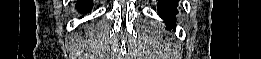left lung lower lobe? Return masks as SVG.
<instances>
[{
	"instance_id": "0a47b994",
	"label": "left lung lower lobe",
	"mask_w": 261,
	"mask_h": 59,
	"mask_svg": "<svg viewBox=\"0 0 261 59\" xmlns=\"http://www.w3.org/2000/svg\"><path fill=\"white\" fill-rule=\"evenodd\" d=\"M178 0H158V12L167 25L171 28L174 27L173 16L177 14Z\"/></svg>"
}]
</instances>
